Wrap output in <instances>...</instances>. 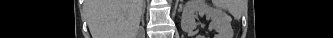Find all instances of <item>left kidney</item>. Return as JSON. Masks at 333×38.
<instances>
[{
    "mask_svg": "<svg viewBox=\"0 0 333 38\" xmlns=\"http://www.w3.org/2000/svg\"><path fill=\"white\" fill-rule=\"evenodd\" d=\"M206 16L211 20L209 28L217 34L214 38H231L233 29L231 20L219 8L212 7L206 0H188L183 9L181 26L183 31L190 32L199 25L196 22L198 17Z\"/></svg>",
    "mask_w": 333,
    "mask_h": 38,
    "instance_id": "obj_1",
    "label": "left kidney"
}]
</instances>
